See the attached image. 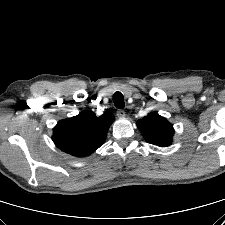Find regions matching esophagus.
Instances as JSON below:
<instances>
[{"label":"esophagus","instance_id":"1","mask_svg":"<svg viewBox=\"0 0 225 225\" xmlns=\"http://www.w3.org/2000/svg\"><path fill=\"white\" fill-rule=\"evenodd\" d=\"M116 114L119 118H123L126 115L124 110H122V109H118Z\"/></svg>","mask_w":225,"mask_h":225}]
</instances>
